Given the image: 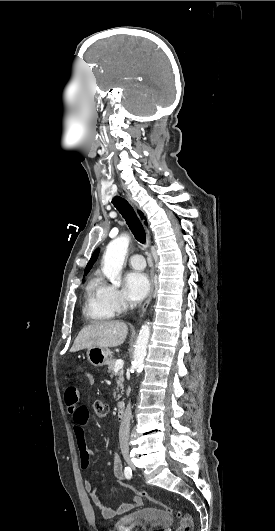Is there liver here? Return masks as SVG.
I'll return each mask as SVG.
<instances>
[{"instance_id": "obj_1", "label": "liver", "mask_w": 275, "mask_h": 531, "mask_svg": "<svg viewBox=\"0 0 275 531\" xmlns=\"http://www.w3.org/2000/svg\"><path fill=\"white\" fill-rule=\"evenodd\" d=\"M128 327L119 321H94L92 325H86L76 337L70 351H82L89 347H118L126 339Z\"/></svg>"}]
</instances>
